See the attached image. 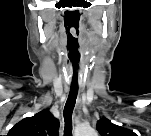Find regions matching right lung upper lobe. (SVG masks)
I'll return each instance as SVG.
<instances>
[{
    "label": "right lung upper lobe",
    "mask_w": 151,
    "mask_h": 136,
    "mask_svg": "<svg viewBox=\"0 0 151 136\" xmlns=\"http://www.w3.org/2000/svg\"><path fill=\"white\" fill-rule=\"evenodd\" d=\"M59 121L48 111L42 110L15 124L9 134L12 136H57Z\"/></svg>",
    "instance_id": "cb5924a9"
}]
</instances>
